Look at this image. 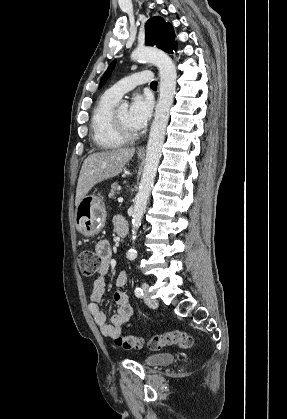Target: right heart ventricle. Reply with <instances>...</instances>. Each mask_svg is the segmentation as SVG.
I'll return each instance as SVG.
<instances>
[{
	"mask_svg": "<svg viewBox=\"0 0 287 419\" xmlns=\"http://www.w3.org/2000/svg\"><path fill=\"white\" fill-rule=\"evenodd\" d=\"M117 102L105 92L92 112L91 136L95 145L101 149H115L124 143L117 137L111 124V114Z\"/></svg>",
	"mask_w": 287,
	"mask_h": 419,
	"instance_id": "obj_1",
	"label": "right heart ventricle"
}]
</instances>
